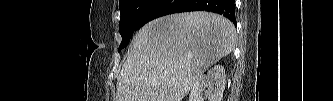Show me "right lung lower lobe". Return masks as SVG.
Segmentation results:
<instances>
[{
  "label": "right lung lower lobe",
  "instance_id": "1",
  "mask_svg": "<svg viewBox=\"0 0 333 101\" xmlns=\"http://www.w3.org/2000/svg\"><path fill=\"white\" fill-rule=\"evenodd\" d=\"M235 0H154L139 20L141 28L149 21L172 13L209 11L221 14L236 25Z\"/></svg>",
  "mask_w": 333,
  "mask_h": 101
}]
</instances>
